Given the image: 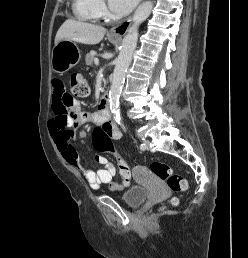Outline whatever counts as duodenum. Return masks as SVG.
Listing matches in <instances>:
<instances>
[{"label":"duodenum","instance_id":"obj_1","mask_svg":"<svg viewBox=\"0 0 248 258\" xmlns=\"http://www.w3.org/2000/svg\"><path fill=\"white\" fill-rule=\"evenodd\" d=\"M99 110L103 118L111 119L109 110V97L106 93L102 97L101 107L99 108Z\"/></svg>","mask_w":248,"mask_h":258}]
</instances>
